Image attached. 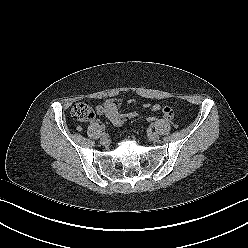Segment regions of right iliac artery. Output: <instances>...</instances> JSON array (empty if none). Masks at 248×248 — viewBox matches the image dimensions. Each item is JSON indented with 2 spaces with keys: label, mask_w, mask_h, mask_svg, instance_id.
Instances as JSON below:
<instances>
[{
  "label": "right iliac artery",
  "mask_w": 248,
  "mask_h": 248,
  "mask_svg": "<svg viewBox=\"0 0 248 248\" xmlns=\"http://www.w3.org/2000/svg\"><path fill=\"white\" fill-rule=\"evenodd\" d=\"M101 128L103 131H105V129H106L105 125H102Z\"/></svg>",
  "instance_id": "82829eb1"
}]
</instances>
